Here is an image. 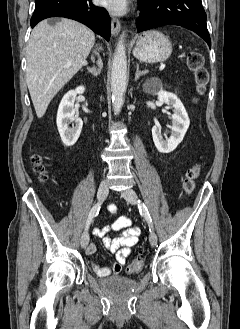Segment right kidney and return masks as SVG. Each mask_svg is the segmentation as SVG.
<instances>
[{"mask_svg":"<svg viewBox=\"0 0 240 329\" xmlns=\"http://www.w3.org/2000/svg\"><path fill=\"white\" fill-rule=\"evenodd\" d=\"M85 88L83 86L71 90L62 98L57 112V128L61 136V140L65 146H73L81 133L83 121L75 116L74 102L77 94H83ZM72 123V127L69 124Z\"/></svg>","mask_w":240,"mask_h":329,"instance_id":"1","label":"right kidney"}]
</instances>
